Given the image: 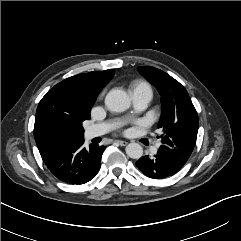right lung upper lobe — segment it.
Returning <instances> with one entry per match:
<instances>
[{
    "label": "right lung upper lobe",
    "mask_w": 241,
    "mask_h": 241,
    "mask_svg": "<svg viewBox=\"0 0 241 241\" xmlns=\"http://www.w3.org/2000/svg\"><path fill=\"white\" fill-rule=\"evenodd\" d=\"M113 75V69L78 74L46 93L39 102L34 125L42 158L64 144L83 139L82 122L89 119L99 92Z\"/></svg>",
    "instance_id": "cb5924a9"
}]
</instances>
